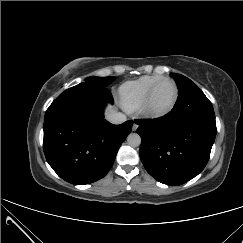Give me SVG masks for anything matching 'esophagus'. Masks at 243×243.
<instances>
[{
    "mask_svg": "<svg viewBox=\"0 0 243 243\" xmlns=\"http://www.w3.org/2000/svg\"><path fill=\"white\" fill-rule=\"evenodd\" d=\"M137 128H138V125H137V123L134 121L133 126H132V130H133V131H136Z\"/></svg>",
    "mask_w": 243,
    "mask_h": 243,
    "instance_id": "esophagus-1",
    "label": "esophagus"
}]
</instances>
